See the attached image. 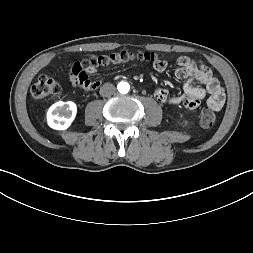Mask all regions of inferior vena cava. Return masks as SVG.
Wrapping results in <instances>:
<instances>
[{
  "label": "inferior vena cava",
  "instance_id": "inferior-vena-cava-1",
  "mask_svg": "<svg viewBox=\"0 0 253 253\" xmlns=\"http://www.w3.org/2000/svg\"><path fill=\"white\" fill-rule=\"evenodd\" d=\"M115 90L116 88L113 84L106 83L103 86H101L100 95L103 97H110L111 95L115 93Z\"/></svg>",
  "mask_w": 253,
  "mask_h": 253
}]
</instances>
